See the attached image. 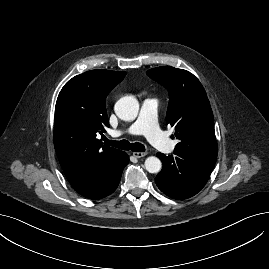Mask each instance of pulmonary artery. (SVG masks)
Returning <instances> with one entry per match:
<instances>
[{
	"mask_svg": "<svg viewBox=\"0 0 269 269\" xmlns=\"http://www.w3.org/2000/svg\"><path fill=\"white\" fill-rule=\"evenodd\" d=\"M158 103L154 99H146L141 105L137 119L126 129L115 131L116 136L125 134L143 135L157 149L171 153L175 150L176 143L170 140L158 127L156 119Z\"/></svg>",
	"mask_w": 269,
	"mask_h": 269,
	"instance_id": "pulmonary-artery-1",
	"label": "pulmonary artery"
}]
</instances>
